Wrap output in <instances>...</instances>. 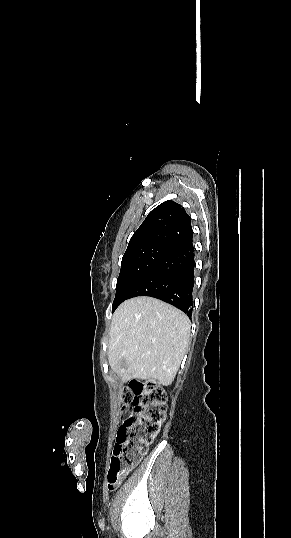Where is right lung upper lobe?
I'll use <instances>...</instances> for the list:
<instances>
[{"label": "right lung upper lobe", "instance_id": "cb5924a9", "mask_svg": "<svg viewBox=\"0 0 291 538\" xmlns=\"http://www.w3.org/2000/svg\"><path fill=\"white\" fill-rule=\"evenodd\" d=\"M192 237L190 216L180 204L168 200L148 214L131 237L125 253L150 246L173 249Z\"/></svg>", "mask_w": 291, "mask_h": 538}]
</instances>
